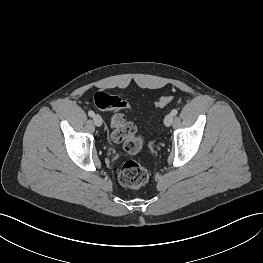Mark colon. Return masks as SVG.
Segmentation results:
<instances>
[{"mask_svg": "<svg viewBox=\"0 0 263 263\" xmlns=\"http://www.w3.org/2000/svg\"><path fill=\"white\" fill-rule=\"evenodd\" d=\"M173 101L172 96L160 97L155 105L157 108H163ZM94 102L97 106L112 110H129V104L122 98L106 93L98 92L94 95ZM112 139L116 143H120L123 149L131 155L140 151L143 146V136L137 134L134 125L126 120L122 113H115L111 118ZM148 172L135 161H127L119 172V180L122 185L131 188H139L148 181Z\"/></svg>", "mask_w": 263, "mask_h": 263, "instance_id": "1", "label": "colon"}]
</instances>
